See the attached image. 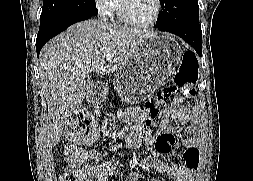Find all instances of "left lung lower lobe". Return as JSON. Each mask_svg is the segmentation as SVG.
<instances>
[{
	"label": "left lung lower lobe",
	"instance_id": "1",
	"mask_svg": "<svg viewBox=\"0 0 253 181\" xmlns=\"http://www.w3.org/2000/svg\"><path fill=\"white\" fill-rule=\"evenodd\" d=\"M156 27L160 31H166L178 35L189 43L199 56H202V31L200 24H168Z\"/></svg>",
	"mask_w": 253,
	"mask_h": 181
}]
</instances>
